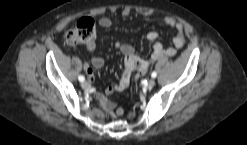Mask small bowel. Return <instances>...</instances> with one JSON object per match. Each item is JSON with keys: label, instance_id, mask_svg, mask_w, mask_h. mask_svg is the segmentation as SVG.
I'll use <instances>...</instances> for the list:
<instances>
[{"label": "small bowel", "instance_id": "small-bowel-1", "mask_svg": "<svg viewBox=\"0 0 247 145\" xmlns=\"http://www.w3.org/2000/svg\"><path fill=\"white\" fill-rule=\"evenodd\" d=\"M127 15V12L123 13ZM165 25L174 32L173 46L169 48H164L162 43L158 41V33L154 30L147 32V39L154 42L153 53L148 59H142L135 55V49L131 44L117 41L115 47L124 56V66L127 72V76L122 74L121 79L118 82H110L108 87L103 93L95 92V97L99 101L103 110L112 118L117 119L123 115V109L117 106L114 102L109 100V96L115 91H122L126 89L129 85L130 76L132 73L136 72L138 75H143L147 72L149 67L158 60L164 57H170L175 55L176 49H180L184 46V27L182 23L176 21L172 17L164 18ZM98 24L102 28H110L112 26V20L109 17H101ZM88 51H93L95 49V43L92 42L86 45ZM135 61L138 64H135ZM104 65V59L101 56H93L90 62H86L83 65L85 72L89 77V81L93 82L95 79L94 69L101 68Z\"/></svg>", "mask_w": 247, "mask_h": 145}]
</instances>
